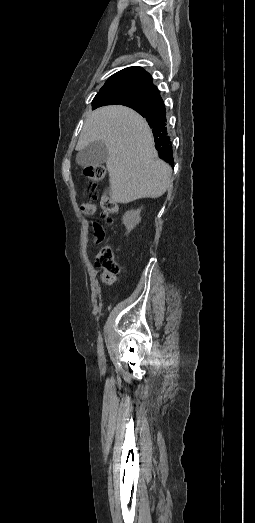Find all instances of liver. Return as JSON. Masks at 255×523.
<instances>
[{"label":"liver","mask_w":255,"mask_h":523,"mask_svg":"<svg viewBox=\"0 0 255 523\" xmlns=\"http://www.w3.org/2000/svg\"><path fill=\"white\" fill-rule=\"evenodd\" d=\"M98 140L109 152L106 166L113 202L128 204L165 194L172 170L159 160L145 118L124 106L98 108L86 116L76 150Z\"/></svg>","instance_id":"liver-1"}]
</instances>
